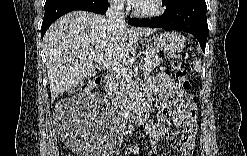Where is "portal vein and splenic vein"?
Instances as JSON below:
<instances>
[{
    "mask_svg": "<svg viewBox=\"0 0 247 156\" xmlns=\"http://www.w3.org/2000/svg\"><path fill=\"white\" fill-rule=\"evenodd\" d=\"M90 60H94V59H90ZM96 60V59H95ZM98 63L105 68L111 69L112 71L121 74V75H127L128 69L126 67H124L121 64H116V63H111L109 61H105L103 59L98 60ZM143 63V61H142Z\"/></svg>",
    "mask_w": 247,
    "mask_h": 156,
    "instance_id": "obj_1",
    "label": "portal vein and splenic vein"
}]
</instances>
